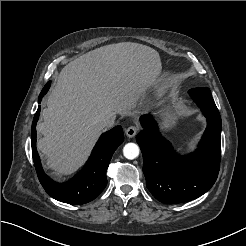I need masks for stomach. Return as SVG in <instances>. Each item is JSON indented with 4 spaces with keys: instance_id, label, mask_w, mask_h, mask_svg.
<instances>
[{
    "instance_id": "stomach-1",
    "label": "stomach",
    "mask_w": 246,
    "mask_h": 246,
    "mask_svg": "<svg viewBox=\"0 0 246 246\" xmlns=\"http://www.w3.org/2000/svg\"><path fill=\"white\" fill-rule=\"evenodd\" d=\"M161 120L163 129L167 132L176 126L178 122V116L171 107L167 106L161 112Z\"/></svg>"
}]
</instances>
